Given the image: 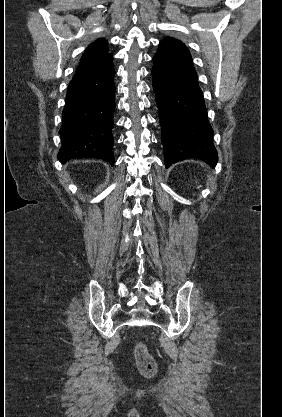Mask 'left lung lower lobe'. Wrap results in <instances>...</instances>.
<instances>
[{
	"instance_id": "1",
	"label": "left lung lower lobe",
	"mask_w": 282,
	"mask_h": 417,
	"mask_svg": "<svg viewBox=\"0 0 282 417\" xmlns=\"http://www.w3.org/2000/svg\"><path fill=\"white\" fill-rule=\"evenodd\" d=\"M153 61L166 168L188 158L201 159L214 168L218 154L213 129L188 49L178 40L163 39Z\"/></svg>"
}]
</instances>
